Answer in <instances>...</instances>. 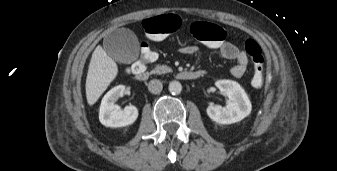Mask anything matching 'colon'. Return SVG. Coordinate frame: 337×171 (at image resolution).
Returning <instances> with one entry per match:
<instances>
[{
	"instance_id": "1",
	"label": "colon",
	"mask_w": 337,
	"mask_h": 171,
	"mask_svg": "<svg viewBox=\"0 0 337 171\" xmlns=\"http://www.w3.org/2000/svg\"><path fill=\"white\" fill-rule=\"evenodd\" d=\"M181 20L178 16L168 14L150 17L144 20L143 27L147 36L152 40H161L168 34L179 29ZM192 36L201 41L204 48L217 50L224 44L226 37L225 30L216 24L196 21L191 26ZM247 55L253 64L252 85L259 88L264 83V55L261 47L254 39H247L244 43ZM141 58L136 63L139 67H145L146 64L154 65L158 61V56L153 52V46L149 42H144L140 46Z\"/></svg>"
}]
</instances>
